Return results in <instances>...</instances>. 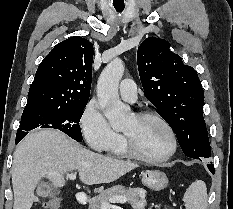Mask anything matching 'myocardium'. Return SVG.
<instances>
[{
  "label": "myocardium",
  "instance_id": "obj_1",
  "mask_svg": "<svg viewBox=\"0 0 233 209\" xmlns=\"http://www.w3.org/2000/svg\"><path fill=\"white\" fill-rule=\"evenodd\" d=\"M135 117L137 119L152 118L160 122L164 126V128L166 129L169 135L170 147L169 150L162 156L148 157L140 153L133 144L131 138L127 134L123 133V143L127 154L138 161L148 164H160L168 161L175 154L177 150V137L170 123L163 116L152 110H144L137 112L135 114Z\"/></svg>",
  "mask_w": 233,
  "mask_h": 209
}]
</instances>
